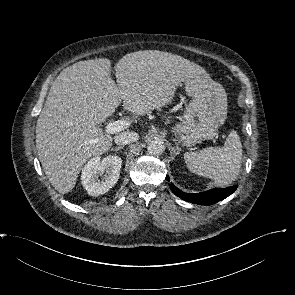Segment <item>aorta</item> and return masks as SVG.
<instances>
[{"mask_svg": "<svg viewBox=\"0 0 295 295\" xmlns=\"http://www.w3.org/2000/svg\"><path fill=\"white\" fill-rule=\"evenodd\" d=\"M147 151L151 155H160L165 151V144L159 138L152 139L147 144Z\"/></svg>", "mask_w": 295, "mask_h": 295, "instance_id": "obj_1", "label": "aorta"}]
</instances>
